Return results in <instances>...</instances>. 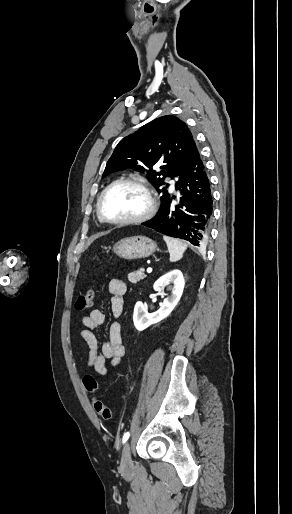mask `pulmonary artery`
Instances as JSON below:
<instances>
[{"label":"pulmonary artery","mask_w":292,"mask_h":514,"mask_svg":"<svg viewBox=\"0 0 292 514\" xmlns=\"http://www.w3.org/2000/svg\"><path fill=\"white\" fill-rule=\"evenodd\" d=\"M170 183H171L172 187H174V185H175V179H171Z\"/></svg>","instance_id":"1"}]
</instances>
